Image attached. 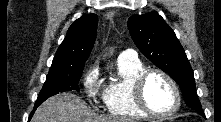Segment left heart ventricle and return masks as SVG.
Masks as SVG:
<instances>
[{
    "mask_svg": "<svg viewBox=\"0 0 221 122\" xmlns=\"http://www.w3.org/2000/svg\"><path fill=\"white\" fill-rule=\"evenodd\" d=\"M148 105L158 113H166L175 105V96L170 84L160 75H152L145 85Z\"/></svg>",
    "mask_w": 221,
    "mask_h": 122,
    "instance_id": "b2bd125f",
    "label": "left heart ventricle"
}]
</instances>
